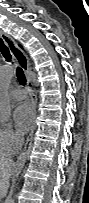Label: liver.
<instances>
[{
    "label": "liver",
    "mask_w": 89,
    "mask_h": 203,
    "mask_svg": "<svg viewBox=\"0 0 89 203\" xmlns=\"http://www.w3.org/2000/svg\"><path fill=\"white\" fill-rule=\"evenodd\" d=\"M15 163L11 159L0 160V194L4 196L9 187V178L14 174Z\"/></svg>",
    "instance_id": "obj_1"
}]
</instances>
